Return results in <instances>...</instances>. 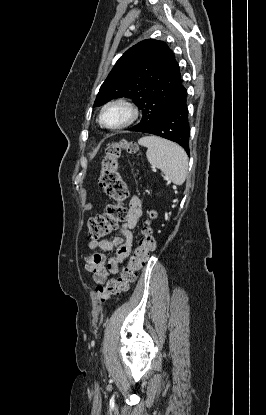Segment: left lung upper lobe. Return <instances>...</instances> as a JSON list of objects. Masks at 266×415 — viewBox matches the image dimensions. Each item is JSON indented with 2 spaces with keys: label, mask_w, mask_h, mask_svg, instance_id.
<instances>
[{
  "label": "left lung upper lobe",
  "mask_w": 266,
  "mask_h": 415,
  "mask_svg": "<svg viewBox=\"0 0 266 415\" xmlns=\"http://www.w3.org/2000/svg\"><path fill=\"white\" fill-rule=\"evenodd\" d=\"M184 87L173 51L163 41L144 40L128 49L100 87L94 106L128 97L142 111L141 132L160 119Z\"/></svg>",
  "instance_id": "left-lung-upper-lobe-1"
}]
</instances>
